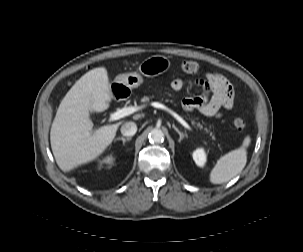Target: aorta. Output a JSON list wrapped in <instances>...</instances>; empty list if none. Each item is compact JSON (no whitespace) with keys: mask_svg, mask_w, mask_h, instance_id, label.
Wrapping results in <instances>:
<instances>
[{"mask_svg":"<svg viewBox=\"0 0 303 252\" xmlns=\"http://www.w3.org/2000/svg\"><path fill=\"white\" fill-rule=\"evenodd\" d=\"M148 138L151 142L160 143L164 141V133L159 128H154L150 131Z\"/></svg>","mask_w":303,"mask_h":252,"instance_id":"obj_1","label":"aorta"}]
</instances>
